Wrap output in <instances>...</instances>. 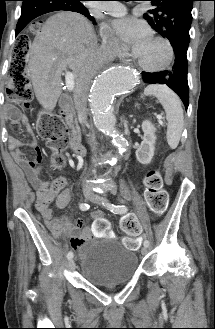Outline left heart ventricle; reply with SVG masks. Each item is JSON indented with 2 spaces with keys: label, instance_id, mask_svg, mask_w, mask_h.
<instances>
[{
  "label": "left heart ventricle",
  "instance_id": "b2bd125f",
  "mask_svg": "<svg viewBox=\"0 0 215 329\" xmlns=\"http://www.w3.org/2000/svg\"><path fill=\"white\" fill-rule=\"evenodd\" d=\"M139 61L149 67L162 65L167 59V50L161 43L151 40L142 50L136 53Z\"/></svg>",
  "mask_w": 215,
  "mask_h": 329
}]
</instances>
